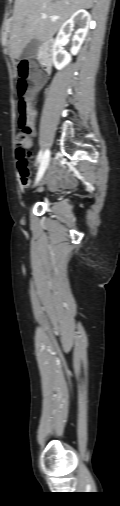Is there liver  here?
<instances>
[{
  "instance_id": "obj_1",
  "label": "liver",
  "mask_w": 120,
  "mask_h": 506,
  "mask_svg": "<svg viewBox=\"0 0 120 506\" xmlns=\"http://www.w3.org/2000/svg\"><path fill=\"white\" fill-rule=\"evenodd\" d=\"M94 0H15L10 30V52L19 58L32 39L46 42L76 11L92 8ZM42 14L47 15L46 19ZM56 17V20H52Z\"/></svg>"
}]
</instances>
